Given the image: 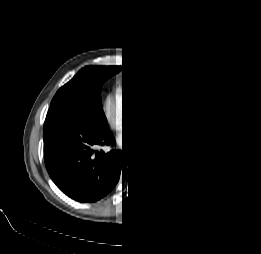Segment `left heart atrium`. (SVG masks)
Returning a JSON list of instances; mask_svg holds the SVG:
<instances>
[{
  "mask_svg": "<svg viewBox=\"0 0 261 254\" xmlns=\"http://www.w3.org/2000/svg\"><path fill=\"white\" fill-rule=\"evenodd\" d=\"M140 133H142V135H143L145 132H144V130H142ZM127 137H128V134H124L123 140L126 141Z\"/></svg>",
  "mask_w": 261,
  "mask_h": 254,
  "instance_id": "1",
  "label": "left heart atrium"
}]
</instances>
